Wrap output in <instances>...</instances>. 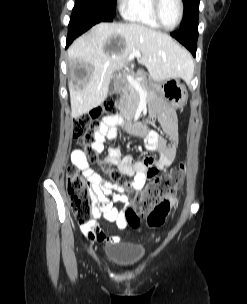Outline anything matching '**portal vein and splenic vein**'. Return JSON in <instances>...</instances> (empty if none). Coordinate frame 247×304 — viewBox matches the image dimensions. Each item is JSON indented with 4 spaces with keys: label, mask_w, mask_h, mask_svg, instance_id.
I'll list each match as a JSON object with an SVG mask.
<instances>
[{
    "label": "portal vein and splenic vein",
    "mask_w": 247,
    "mask_h": 304,
    "mask_svg": "<svg viewBox=\"0 0 247 304\" xmlns=\"http://www.w3.org/2000/svg\"><path fill=\"white\" fill-rule=\"evenodd\" d=\"M141 58V53L139 51H133L129 57L128 61H131L134 58ZM127 80L129 83L139 92L140 96H147V92L141 87L140 83L138 80H136L133 76L127 75Z\"/></svg>",
    "instance_id": "portal-vein-and-splenic-vein-1"
}]
</instances>
